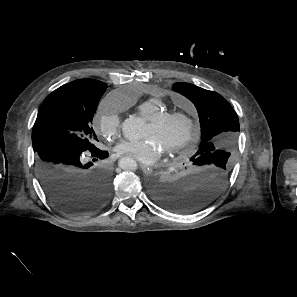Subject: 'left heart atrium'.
I'll return each instance as SVG.
<instances>
[{
	"instance_id": "1",
	"label": "left heart atrium",
	"mask_w": 297,
	"mask_h": 297,
	"mask_svg": "<svg viewBox=\"0 0 297 297\" xmlns=\"http://www.w3.org/2000/svg\"><path fill=\"white\" fill-rule=\"evenodd\" d=\"M115 151L118 155L128 156L142 164H153L163 153V148L153 137H147L143 140H122L119 142Z\"/></svg>"
}]
</instances>
